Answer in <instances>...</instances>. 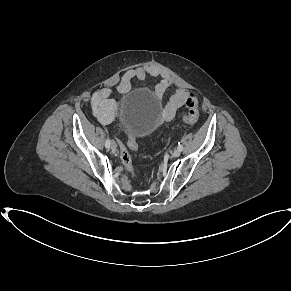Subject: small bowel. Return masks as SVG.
<instances>
[{
  "label": "small bowel",
  "instance_id": "1",
  "mask_svg": "<svg viewBox=\"0 0 291 291\" xmlns=\"http://www.w3.org/2000/svg\"><path fill=\"white\" fill-rule=\"evenodd\" d=\"M147 76L159 77L155 86L154 95L161 100L165 91L171 85L170 76L153 64L128 70L123 74L117 86L121 93L127 92L134 80H144ZM189 92L184 88H177L169 96L164 106L160 124L171 120L177 113V110L186 102ZM93 115L101 125L110 124L119 112V104L112 99V90L108 87H102L96 90L91 99Z\"/></svg>",
  "mask_w": 291,
  "mask_h": 291
}]
</instances>
